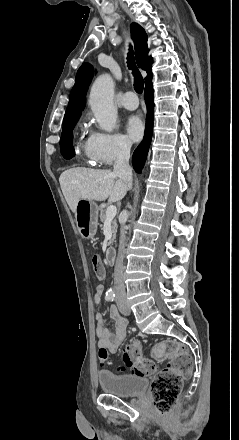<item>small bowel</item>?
I'll list each match as a JSON object with an SVG mask.
<instances>
[{
	"label": "small bowel",
	"mask_w": 239,
	"mask_h": 440,
	"mask_svg": "<svg viewBox=\"0 0 239 440\" xmlns=\"http://www.w3.org/2000/svg\"><path fill=\"white\" fill-rule=\"evenodd\" d=\"M104 292V286L98 285L94 292V302L100 305ZM110 318L114 321V329L110 330L107 327V320L101 314H96V335L98 339V346L101 349L115 353L126 337L127 320L123 318L116 307L110 308Z\"/></svg>",
	"instance_id": "1"
}]
</instances>
